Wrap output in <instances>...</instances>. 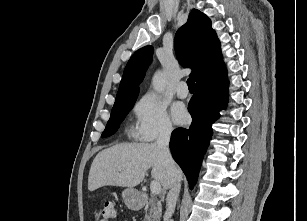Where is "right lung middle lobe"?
<instances>
[{
  "label": "right lung middle lobe",
  "instance_id": "right-lung-middle-lobe-1",
  "mask_svg": "<svg viewBox=\"0 0 307 221\" xmlns=\"http://www.w3.org/2000/svg\"><path fill=\"white\" fill-rule=\"evenodd\" d=\"M137 96L119 101L114 103V106L111 111L110 119L106 125L105 130L103 131L101 137L105 138L115 133L117 127L120 125L122 120L125 118L126 114L133 107Z\"/></svg>",
  "mask_w": 307,
  "mask_h": 221
}]
</instances>
